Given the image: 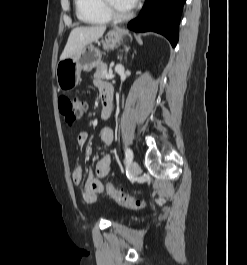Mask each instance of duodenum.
I'll list each match as a JSON object with an SVG mask.
<instances>
[{"label": "duodenum", "instance_id": "duodenum-1", "mask_svg": "<svg viewBox=\"0 0 247 265\" xmlns=\"http://www.w3.org/2000/svg\"><path fill=\"white\" fill-rule=\"evenodd\" d=\"M103 104L104 108L102 110L101 116L104 119H108L112 114V105H113V94L111 89H106L104 91Z\"/></svg>", "mask_w": 247, "mask_h": 265}]
</instances>
